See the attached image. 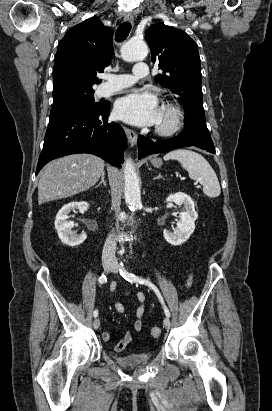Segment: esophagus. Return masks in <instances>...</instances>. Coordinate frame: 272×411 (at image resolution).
Masks as SVG:
<instances>
[{"mask_svg": "<svg viewBox=\"0 0 272 411\" xmlns=\"http://www.w3.org/2000/svg\"><path fill=\"white\" fill-rule=\"evenodd\" d=\"M124 21L129 22V23H133V21H134L133 14L132 13L125 14ZM124 131L127 135V138H128V141H129L130 145L135 146L136 143H137V134H136V132L129 129V128H127V127H124Z\"/></svg>", "mask_w": 272, "mask_h": 411, "instance_id": "obj_1", "label": "esophagus"}]
</instances>
